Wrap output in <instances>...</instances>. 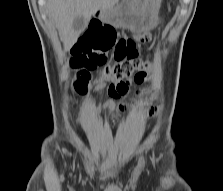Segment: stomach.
Returning a JSON list of instances; mask_svg holds the SVG:
<instances>
[{
  "mask_svg": "<svg viewBox=\"0 0 223 191\" xmlns=\"http://www.w3.org/2000/svg\"><path fill=\"white\" fill-rule=\"evenodd\" d=\"M160 5L161 0H121L114 9H101L98 17L114 27L144 32L155 25Z\"/></svg>",
  "mask_w": 223,
  "mask_h": 191,
  "instance_id": "1",
  "label": "stomach"
}]
</instances>
